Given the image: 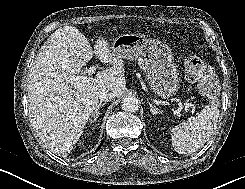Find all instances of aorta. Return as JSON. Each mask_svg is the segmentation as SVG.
Returning a JSON list of instances; mask_svg holds the SVG:
<instances>
[{
	"mask_svg": "<svg viewBox=\"0 0 245 189\" xmlns=\"http://www.w3.org/2000/svg\"><path fill=\"white\" fill-rule=\"evenodd\" d=\"M121 107L127 112H136L139 108V102L136 98L126 97L122 100Z\"/></svg>",
	"mask_w": 245,
	"mask_h": 189,
	"instance_id": "762f6f07",
	"label": "aorta"
}]
</instances>
